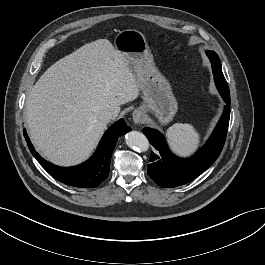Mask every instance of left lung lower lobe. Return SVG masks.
Wrapping results in <instances>:
<instances>
[{"mask_svg":"<svg viewBox=\"0 0 265 265\" xmlns=\"http://www.w3.org/2000/svg\"><path fill=\"white\" fill-rule=\"evenodd\" d=\"M211 63L213 74L217 77L214 78L216 86L227 106L207 144L199 152L189 159L177 158L169 152L164 137L157 130L143 129V133L157 150L151 153L147 173L161 187L173 188L194 180L216 161L223 149L230 119V93L219 87L218 65Z\"/></svg>","mask_w":265,"mask_h":265,"instance_id":"left-lung-lower-lobe-1","label":"left lung lower lobe"}]
</instances>
